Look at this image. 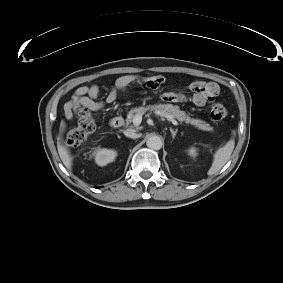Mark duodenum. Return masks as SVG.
<instances>
[{"mask_svg":"<svg viewBox=\"0 0 283 283\" xmlns=\"http://www.w3.org/2000/svg\"><path fill=\"white\" fill-rule=\"evenodd\" d=\"M124 123V119L122 116H115L113 118L110 119L109 121V126L112 128V129H117L119 127H121Z\"/></svg>","mask_w":283,"mask_h":283,"instance_id":"1","label":"duodenum"}]
</instances>
